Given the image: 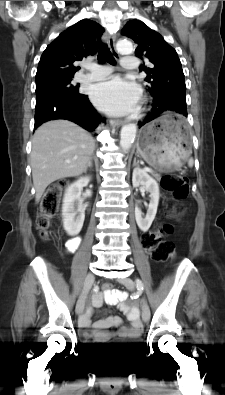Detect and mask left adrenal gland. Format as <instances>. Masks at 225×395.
I'll return each mask as SVG.
<instances>
[{
  "label": "left adrenal gland",
  "mask_w": 225,
  "mask_h": 395,
  "mask_svg": "<svg viewBox=\"0 0 225 395\" xmlns=\"http://www.w3.org/2000/svg\"><path fill=\"white\" fill-rule=\"evenodd\" d=\"M139 162L136 160V157L134 158V161H133V166H139V164H138Z\"/></svg>",
  "instance_id": "1"
}]
</instances>
